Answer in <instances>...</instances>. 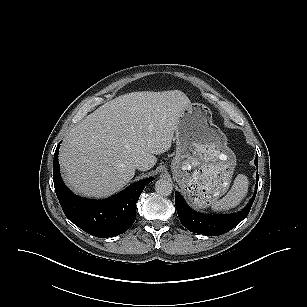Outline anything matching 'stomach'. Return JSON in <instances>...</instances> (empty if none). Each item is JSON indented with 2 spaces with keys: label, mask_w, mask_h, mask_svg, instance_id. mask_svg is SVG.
<instances>
[{
  "label": "stomach",
  "mask_w": 307,
  "mask_h": 307,
  "mask_svg": "<svg viewBox=\"0 0 307 307\" xmlns=\"http://www.w3.org/2000/svg\"><path fill=\"white\" fill-rule=\"evenodd\" d=\"M173 177L197 206H206L224 195L231 183L236 156L226 135L212 123L203 104L185 106L178 117Z\"/></svg>",
  "instance_id": "1"
}]
</instances>
